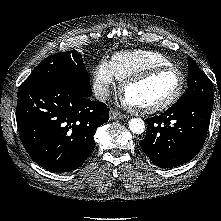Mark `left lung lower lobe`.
Returning a JSON list of instances; mask_svg holds the SVG:
<instances>
[{"label": "left lung lower lobe", "instance_id": "1", "mask_svg": "<svg viewBox=\"0 0 221 221\" xmlns=\"http://www.w3.org/2000/svg\"><path fill=\"white\" fill-rule=\"evenodd\" d=\"M212 107L213 100L191 99L148 118L142 150L153 164L162 168L190 161L205 142Z\"/></svg>", "mask_w": 221, "mask_h": 221}]
</instances>
